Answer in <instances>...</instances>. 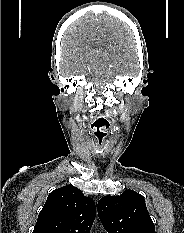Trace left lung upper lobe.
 Returning <instances> with one entry per match:
<instances>
[{
    "label": "left lung upper lobe",
    "instance_id": "left-lung-upper-lobe-1",
    "mask_svg": "<svg viewBox=\"0 0 184 233\" xmlns=\"http://www.w3.org/2000/svg\"><path fill=\"white\" fill-rule=\"evenodd\" d=\"M97 209L108 233H155L144 197L133 190H125L120 196L102 197Z\"/></svg>",
    "mask_w": 184,
    "mask_h": 233
}]
</instances>
